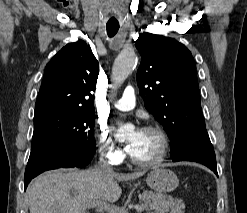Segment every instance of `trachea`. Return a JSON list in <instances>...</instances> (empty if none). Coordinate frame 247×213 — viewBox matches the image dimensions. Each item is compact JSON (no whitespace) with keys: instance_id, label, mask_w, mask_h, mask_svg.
<instances>
[{"instance_id":"obj_1","label":"trachea","mask_w":247,"mask_h":213,"mask_svg":"<svg viewBox=\"0 0 247 213\" xmlns=\"http://www.w3.org/2000/svg\"><path fill=\"white\" fill-rule=\"evenodd\" d=\"M107 34L109 37H113L119 30V24H107L106 25Z\"/></svg>"}]
</instances>
